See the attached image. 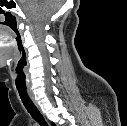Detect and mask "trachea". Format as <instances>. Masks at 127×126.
I'll use <instances>...</instances> for the list:
<instances>
[{"label": "trachea", "mask_w": 127, "mask_h": 126, "mask_svg": "<svg viewBox=\"0 0 127 126\" xmlns=\"http://www.w3.org/2000/svg\"><path fill=\"white\" fill-rule=\"evenodd\" d=\"M19 92V96L22 100L23 105L25 106L26 110L29 112V114L32 116V118L40 125V126H48L47 122L41 115V113L38 111V109L33 104L32 100L28 96L27 90L17 88Z\"/></svg>", "instance_id": "obj_1"}]
</instances>
